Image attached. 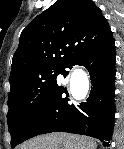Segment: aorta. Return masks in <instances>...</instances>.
I'll list each match as a JSON object with an SVG mask.
<instances>
[{
    "label": "aorta",
    "mask_w": 124,
    "mask_h": 149,
    "mask_svg": "<svg viewBox=\"0 0 124 149\" xmlns=\"http://www.w3.org/2000/svg\"><path fill=\"white\" fill-rule=\"evenodd\" d=\"M84 79V75L81 71H75L73 74H72V78H71V87L74 88L75 87V83L78 81V80H83Z\"/></svg>",
    "instance_id": "aorta-1"
}]
</instances>
